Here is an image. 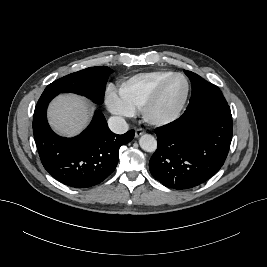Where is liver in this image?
Returning a JSON list of instances; mask_svg holds the SVG:
<instances>
[{
	"label": "liver",
	"instance_id": "6515ba94",
	"mask_svg": "<svg viewBox=\"0 0 267 267\" xmlns=\"http://www.w3.org/2000/svg\"><path fill=\"white\" fill-rule=\"evenodd\" d=\"M90 119L91 107L83 97L62 94L49 105V124L61 135L67 137L77 135L88 125Z\"/></svg>",
	"mask_w": 267,
	"mask_h": 267
}]
</instances>
